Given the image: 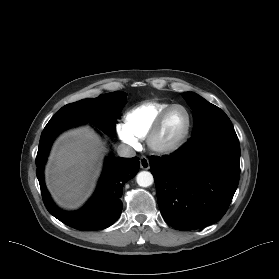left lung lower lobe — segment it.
I'll return each mask as SVG.
<instances>
[{"instance_id":"0a47b994","label":"left lung lower lobe","mask_w":279,"mask_h":279,"mask_svg":"<svg viewBox=\"0 0 279 279\" xmlns=\"http://www.w3.org/2000/svg\"><path fill=\"white\" fill-rule=\"evenodd\" d=\"M164 220L178 230L219 221L240 176V145L234 129L192 136L179 150L149 159Z\"/></svg>"}]
</instances>
